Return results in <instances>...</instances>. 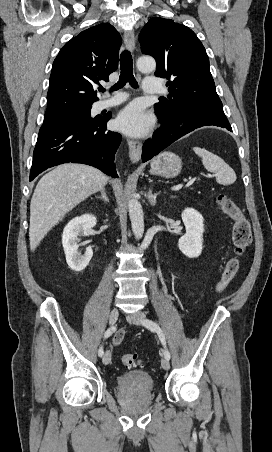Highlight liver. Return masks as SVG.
Listing matches in <instances>:
<instances>
[{"mask_svg":"<svg viewBox=\"0 0 272 452\" xmlns=\"http://www.w3.org/2000/svg\"><path fill=\"white\" fill-rule=\"evenodd\" d=\"M107 183L108 177L103 172L85 164H62L45 174L30 203L31 251L69 211Z\"/></svg>","mask_w":272,"mask_h":452,"instance_id":"obj_1","label":"liver"}]
</instances>
